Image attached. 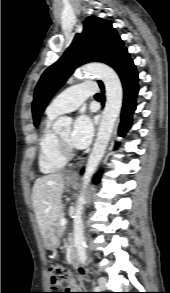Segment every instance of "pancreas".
Returning a JSON list of instances; mask_svg holds the SVG:
<instances>
[{
	"mask_svg": "<svg viewBox=\"0 0 170 293\" xmlns=\"http://www.w3.org/2000/svg\"><path fill=\"white\" fill-rule=\"evenodd\" d=\"M64 215H65L64 212L60 210L55 220V223L53 224V230L57 234H62L64 231V228L60 225V220L64 218Z\"/></svg>",
	"mask_w": 170,
	"mask_h": 293,
	"instance_id": "1",
	"label": "pancreas"
}]
</instances>
